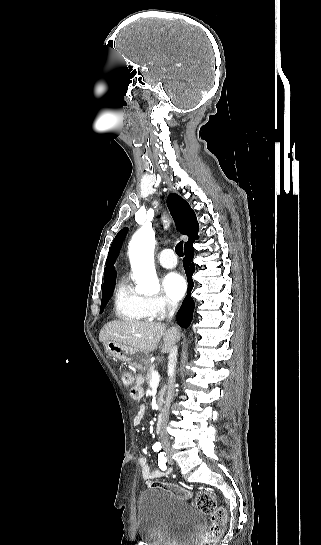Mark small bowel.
<instances>
[{
	"label": "small bowel",
	"instance_id": "obj_1",
	"mask_svg": "<svg viewBox=\"0 0 321 545\" xmlns=\"http://www.w3.org/2000/svg\"><path fill=\"white\" fill-rule=\"evenodd\" d=\"M142 396H143V390L139 385H136L131 389V397L134 400H140L142 398ZM145 413H146V407L144 405H140L138 410H137L136 415L133 418V423H134L135 426H138L142 422V420H143V418L145 416ZM138 460H139V464L141 466V471H142L143 478L147 482H151L153 480L162 478V477H164V476H166L167 474L170 473V469L152 470L151 467L148 464V460H147L146 456L143 455V454H141L139 456Z\"/></svg>",
	"mask_w": 321,
	"mask_h": 545
}]
</instances>
